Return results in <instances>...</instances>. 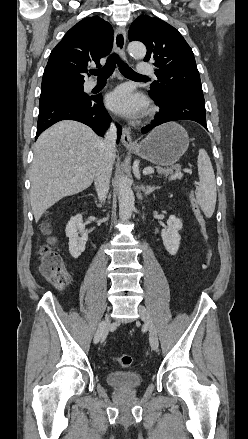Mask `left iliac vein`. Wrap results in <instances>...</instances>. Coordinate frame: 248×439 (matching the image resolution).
<instances>
[{"mask_svg":"<svg viewBox=\"0 0 248 439\" xmlns=\"http://www.w3.org/2000/svg\"><path fill=\"white\" fill-rule=\"evenodd\" d=\"M138 312H139L140 317H141L142 321L144 322L145 326L148 328L150 346H151L152 350L156 351L158 349L159 342H158L157 330L154 326L152 318H151L148 310L144 306L140 305L138 307Z\"/></svg>","mask_w":248,"mask_h":439,"instance_id":"left-iliac-vein-1","label":"left iliac vein"}]
</instances>
